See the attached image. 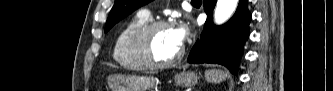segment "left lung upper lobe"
I'll return each mask as SVG.
<instances>
[{
	"mask_svg": "<svg viewBox=\"0 0 333 91\" xmlns=\"http://www.w3.org/2000/svg\"><path fill=\"white\" fill-rule=\"evenodd\" d=\"M151 0H116L109 14L105 26V33L117 22L132 13L135 9L150 2Z\"/></svg>",
	"mask_w": 333,
	"mask_h": 91,
	"instance_id": "left-lung-upper-lobe-1",
	"label": "left lung upper lobe"
}]
</instances>
